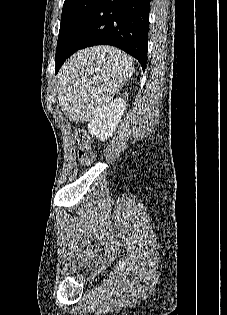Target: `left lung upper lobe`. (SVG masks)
Instances as JSON below:
<instances>
[{
	"label": "left lung upper lobe",
	"mask_w": 227,
	"mask_h": 315,
	"mask_svg": "<svg viewBox=\"0 0 227 315\" xmlns=\"http://www.w3.org/2000/svg\"><path fill=\"white\" fill-rule=\"evenodd\" d=\"M100 0H65L61 16L56 54L65 48L79 25Z\"/></svg>",
	"instance_id": "obj_1"
}]
</instances>
